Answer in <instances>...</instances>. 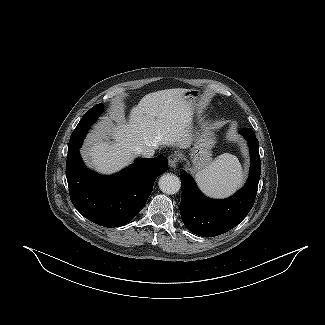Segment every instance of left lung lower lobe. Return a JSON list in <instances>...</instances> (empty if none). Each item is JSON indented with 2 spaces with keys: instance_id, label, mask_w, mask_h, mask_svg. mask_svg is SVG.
Segmentation results:
<instances>
[{
  "instance_id": "left-lung-lower-lobe-1",
  "label": "left lung lower lobe",
  "mask_w": 325,
  "mask_h": 325,
  "mask_svg": "<svg viewBox=\"0 0 325 325\" xmlns=\"http://www.w3.org/2000/svg\"><path fill=\"white\" fill-rule=\"evenodd\" d=\"M239 133L248 141L251 166L245 186L233 196L224 200L209 199L199 191L190 175L180 172L181 217L184 225L197 235L214 237L229 231L247 216L254 204L261 172L258 140L249 128Z\"/></svg>"
}]
</instances>
